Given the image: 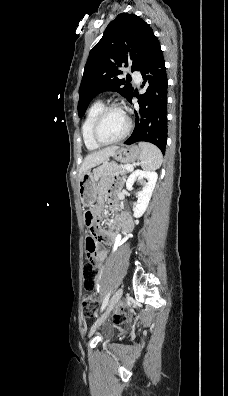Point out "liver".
I'll list each match as a JSON object with an SVG mask.
<instances>
[{
	"label": "liver",
	"mask_w": 228,
	"mask_h": 396,
	"mask_svg": "<svg viewBox=\"0 0 228 396\" xmlns=\"http://www.w3.org/2000/svg\"><path fill=\"white\" fill-rule=\"evenodd\" d=\"M118 149V146H110L88 154L85 157L83 164L79 170V178L85 171L90 170L91 168L105 162Z\"/></svg>",
	"instance_id": "1"
}]
</instances>
